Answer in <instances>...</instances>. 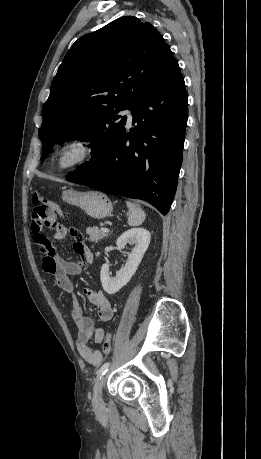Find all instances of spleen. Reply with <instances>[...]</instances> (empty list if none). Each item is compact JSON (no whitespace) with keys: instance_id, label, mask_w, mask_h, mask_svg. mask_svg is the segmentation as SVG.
Here are the masks:
<instances>
[{"instance_id":"1","label":"spleen","mask_w":261,"mask_h":459,"mask_svg":"<svg viewBox=\"0 0 261 459\" xmlns=\"http://www.w3.org/2000/svg\"><path fill=\"white\" fill-rule=\"evenodd\" d=\"M126 204L129 209L128 225L129 226L141 225L146 218L145 212L142 210V208L139 205H136L132 202L127 201Z\"/></svg>"}]
</instances>
